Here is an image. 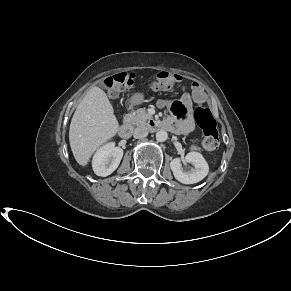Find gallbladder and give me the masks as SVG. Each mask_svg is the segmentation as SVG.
I'll list each match as a JSON object with an SVG mask.
<instances>
[{"label":"gallbladder","instance_id":"1","mask_svg":"<svg viewBox=\"0 0 291 291\" xmlns=\"http://www.w3.org/2000/svg\"><path fill=\"white\" fill-rule=\"evenodd\" d=\"M99 86L102 88H106V83L104 80L100 81Z\"/></svg>","mask_w":291,"mask_h":291}]
</instances>
